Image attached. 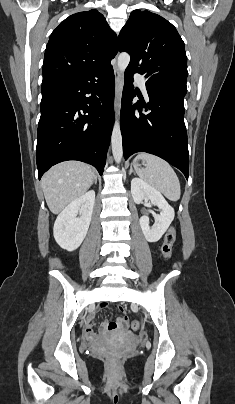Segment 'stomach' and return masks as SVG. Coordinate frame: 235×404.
Here are the masks:
<instances>
[{
	"label": "stomach",
	"mask_w": 235,
	"mask_h": 404,
	"mask_svg": "<svg viewBox=\"0 0 235 404\" xmlns=\"http://www.w3.org/2000/svg\"><path fill=\"white\" fill-rule=\"evenodd\" d=\"M133 165L135 171L137 172L139 169H143L142 165H145V161L142 160V162H140V159H134L133 163L131 164V166Z\"/></svg>",
	"instance_id": "1"
}]
</instances>
